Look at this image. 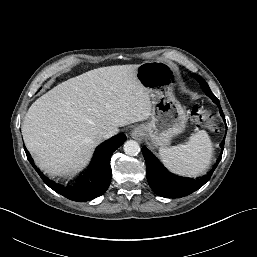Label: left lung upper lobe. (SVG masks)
Segmentation results:
<instances>
[{
	"instance_id": "5c2ea615",
	"label": "left lung upper lobe",
	"mask_w": 257,
	"mask_h": 257,
	"mask_svg": "<svg viewBox=\"0 0 257 257\" xmlns=\"http://www.w3.org/2000/svg\"><path fill=\"white\" fill-rule=\"evenodd\" d=\"M193 77L200 83V85L203 88V90L206 93V95H208L216 104L219 103V100L212 93V91L210 90L209 86L204 81V79L201 78L200 76L196 75V74H193Z\"/></svg>"
}]
</instances>
